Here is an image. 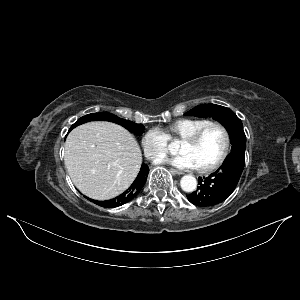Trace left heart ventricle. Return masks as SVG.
<instances>
[{
  "instance_id": "left-heart-ventricle-1",
  "label": "left heart ventricle",
  "mask_w": 300,
  "mask_h": 300,
  "mask_svg": "<svg viewBox=\"0 0 300 300\" xmlns=\"http://www.w3.org/2000/svg\"><path fill=\"white\" fill-rule=\"evenodd\" d=\"M223 131L216 126L209 128L196 144L182 142L179 153L189 154L197 168L210 165L221 155L224 148Z\"/></svg>"
}]
</instances>
